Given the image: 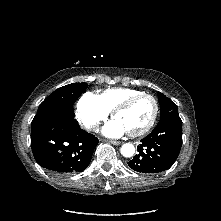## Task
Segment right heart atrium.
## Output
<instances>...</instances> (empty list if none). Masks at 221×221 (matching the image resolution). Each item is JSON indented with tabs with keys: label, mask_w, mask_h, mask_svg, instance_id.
<instances>
[{
	"label": "right heart atrium",
	"mask_w": 221,
	"mask_h": 221,
	"mask_svg": "<svg viewBox=\"0 0 221 221\" xmlns=\"http://www.w3.org/2000/svg\"><path fill=\"white\" fill-rule=\"evenodd\" d=\"M109 114L110 111L105 107L99 95L86 92L80 97L76 117L84 129L95 131L100 122L104 121Z\"/></svg>",
	"instance_id": "1"
}]
</instances>
